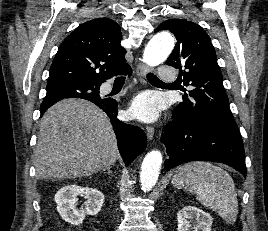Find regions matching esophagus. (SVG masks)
<instances>
[{"label":"esophagus","instance_id":"esophagus-1","mask_svg":"<svg viewBox=\"0 0 268 231\" xmlns=\"http://www.w3.org/2000/svg\"><path fill=\"white\" fill-rule=\"evenodd\" d=\"M149 68L147 65H145L143 62H139L137 65L136 73L139 77L140 83H145V77L148 73ZM146 136L148 140H152L154 137V128L151 126L146 127Z\"/></svg>","mask_w":268,"mask_h":231}]
</instances>
